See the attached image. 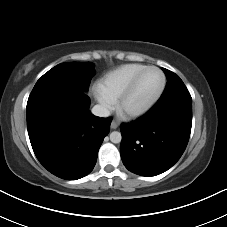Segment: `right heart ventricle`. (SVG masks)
<instances>
[{
  "label": "right heart ventricle",
  "instance_id": "e07e8e85",
  "mask_svg": "<svg viewBox=\"0 0 227 227\" xmlns=\"http://www.w3.org/2000/svg\"><path fill=\"white\" fill-rule=\"evenodd\" d=\"M145 67L146 65L139 63L121 65L102 78L99 90L115 101L120 98L134 77Z\"/></svg>",
  "mask_w": 227,
  "mask_h": 227
}]
</instances>
